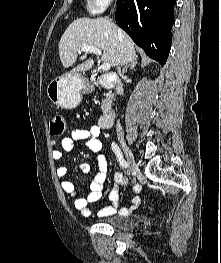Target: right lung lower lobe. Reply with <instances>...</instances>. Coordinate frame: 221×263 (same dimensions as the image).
Returning <instances> with one entry per match:
<instances>
[{
	"instance_id": "obj_1",
	"label": "right lung lower lobe",
	"mask_w": 221,
	"mask_h": 263,
	"mask_svg": "<svg viewBox=\"0 0 221 263\" xmlns=\"http://www.w3.org/2000/svg\"><path fill=\"white\" fill-rule=\"evenodd\" d=\"M176 0H118L116 23L163 66L172 42Z\"/></svg>"
}]
</instances>
